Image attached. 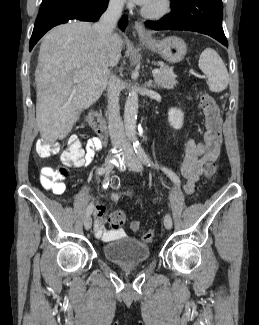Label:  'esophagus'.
Returning a JSON list of instances; mask_svg holds the SVG:
<instances>
[{"label": "esophagus", "mask_w": 259, "mask_h": 325, "mask_svg": "<svg viewBox=\"0 0 259 325\" xmlns=\"http://www.w3.org/2000/svg\"><path fill=\"white\" fill-rule=\"evenodd\" d=\"M134 29L137 32L138 36L145 39H150L151 36L141 22L135 21Z\"/></svg>", "instance_id": "esophagus-1"}]
</instances>
